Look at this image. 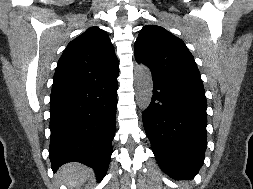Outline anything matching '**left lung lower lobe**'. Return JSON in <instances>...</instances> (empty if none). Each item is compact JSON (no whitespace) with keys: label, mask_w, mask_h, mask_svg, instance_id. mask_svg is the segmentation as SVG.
<instances>
[{"label":"left lung lower lobe","mask_w":253,"mask_h":189,"mask_svg":"<svg viewBox=\"0 0 253 189\" xmlns=\"http://www.w3.org/2000/svg\"><path fill=\"white\" fill-rule=\"evenodd\" d=\"M205 94L153 80L143 124L160 168L175 179H193L207 147Z\"/></svg>","instance_id":"left-lung-lower-lobe-1"}]
</instances>
